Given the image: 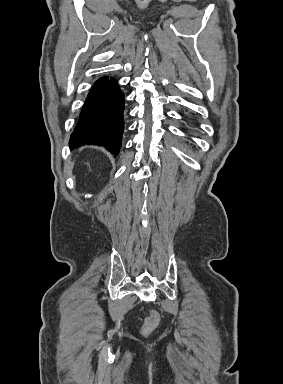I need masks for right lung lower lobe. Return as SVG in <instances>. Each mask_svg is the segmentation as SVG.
Segmentation results:
<instances>
[{
    "label": "right lung lower lobe",
    "instance_id": "obj_1",
    "mask_svg": "<svg viewBox=\"0 0 283 384\" xmlns=\"http://www.w3.org/2000/svg\"><path fill=\"white\" fill-rule=\"evenodd\" d=\"M124 94L112 77L99 78L91 88L71 134L70 148L104 146L118 154L124 130Z\"/></svg>",
    "mask_w": 283,
    "mask_h": 384
}]
</instances>
